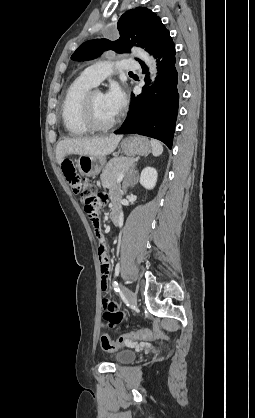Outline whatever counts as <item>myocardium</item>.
I'll use <instances>...</instances> for the list:
<instances>
[{"label":"myocardium","instance_id":"1","mask_svg":"<svg viewBox=\"0 0 255 418\" xmlns=\"http://www.w3.org/2000/svg\"><path fill=\"white\" fill-rule=\"evenodd\" d=\"M97 92H100V90L92 88L85 95L83 99V103H82V119L85 125L91 131H98V132L108 131L117 124L118 119L114 118L111 122L107 124H101L96 120L95 115H94V110H93V96Z\"/></svg>","mask_w":255,"mask_h":418}]
</instances>
